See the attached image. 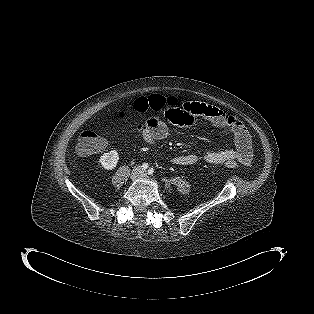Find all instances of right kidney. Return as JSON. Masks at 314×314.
I'll list each match as a JSON object with an SVG mask.
<instances>
[{
    "mask_svg": "<svg viewBox=\"0 0 314 314\" xmlns=\"http://www.w3.org/2000/svg\"><path fill=\"white\" fill-rule=\"evenodd\" d=\"M119 160V154L116 150H112L108 153H104L99 162L101 163L102 167L107 170H112L116 167Z\"/></svg>",
    "mask_w": 314,
    "mask_h": 314,
    "instance_id": "right-kidney-1",
    "label": "right kidney"
}]
</instances>
